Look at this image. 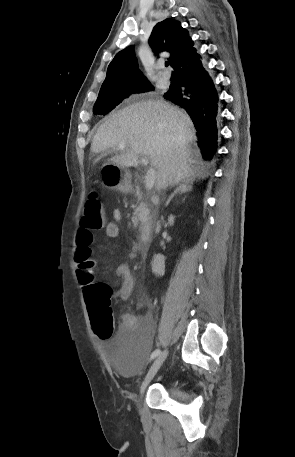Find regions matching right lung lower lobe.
Returning a JSON list of instances; mask_svg holds the SVG:
<instances>
[{"instance_id": "1", "label": "right lung lower lobe", "mask_w": 295, "mask_h": 457, "mask_svg": "<svg viewBox=\"0 0 295 457\" xmlns=\"http://www.w3.org/2000/svg\"><path fill=\"white\" fill-rule=\"evenodd\" d=\"M195 48L182 55L172 66L180 81L164 94V98L182 106L197 129L198 144L205 160H211L216 151V115L218 95L213 81Z\"/></svg>"}]
</instances>
